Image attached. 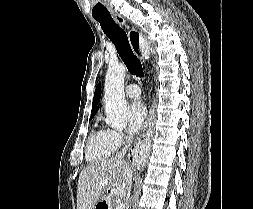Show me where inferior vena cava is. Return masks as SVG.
Here are the masks:
<instances>
[{
	"mask_svg": "<svg viewBox=\"0 0 253 209\" xmlns=\"http://www.w3.org/2000/svg\"><path fill=\"white\" fill-rule=\"evenodd\" d=\"M126 145L122 148V150L116 155V158L119 160H123V157L125 156L128 147L132 143V137L131 136H126L125 137ZM130 188H129V194L131 190V185H132V174L130 175V182H129Z\"/></svg>",
	"mask_w": 253,
	"mask_h": 209,
	"instance_id": "inferior-vena-cava-1",
	"label": "inferior vena cava"
}]
</instances>
